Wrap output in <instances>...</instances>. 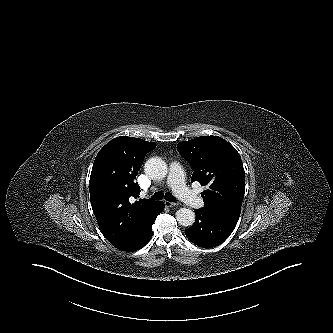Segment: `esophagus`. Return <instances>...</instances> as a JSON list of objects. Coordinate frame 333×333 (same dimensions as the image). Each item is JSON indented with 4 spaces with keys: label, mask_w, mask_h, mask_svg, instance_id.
<instances>
[{
    "label": "esophagus",
    "mask_w": 333,
    "mask_h": 333,
    "mask_svg": "<svg viewBox=\"0 0 333 333\" xmlns=\"http://www.w3.org/2000/svg\"><path fill=\"white\" fill-rule=\"evenodd\" d=\"M164 204H165L166 207L178 206L177 203H173V202H169V201H165Z\"/></svg>",
    "instance_id": "34e87169"
}]
</instances>
